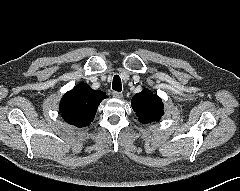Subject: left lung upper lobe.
<instances>
[{
  "label": "left lung upper lobe",
  "mask_w": 240,
  "mask_h": 191,
  "mask_svg": "<svg viewBox=\"0 0 240 191\" xmlns=\"http://www.w3.org/2000/svg\"><path fill=\"white\" fill-rule=\"evenodd\" d=\"M131 106L142 124L157 122L164 114L161 98L148 89H143L140 93L135 94Z\"/></svg>",
  "instance_id": "obj_1"
}]
</instances>
